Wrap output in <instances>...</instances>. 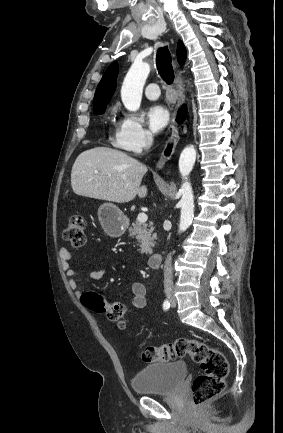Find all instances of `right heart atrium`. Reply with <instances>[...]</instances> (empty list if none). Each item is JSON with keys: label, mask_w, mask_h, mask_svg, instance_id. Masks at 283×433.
Segmentation results:
<instances>
[{"label": "right heart atrium", "mask_w": 283, "mask_h": 433, "mask_svg": "<svg viewBox=\"0 0 283 433\" xmlns=\"http://www.w3.org/2000/svg\"><path fill=\"white\" fill-rule=\"evenodd\" d=\"M117 110L122 118L114 130L112 145L131 155H140L152 143L151 135L144 129L140 117L135 113Z\"/></svg>", "instance_id": "obj_1"}]
</instances>
